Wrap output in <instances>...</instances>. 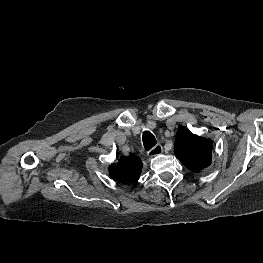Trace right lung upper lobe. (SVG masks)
I'll return each instance as SVG.
<instances>
[{
    "mask_svg": "<svg viewBox=\"0 0 263 263\" xmlns=\"http://www.w3.org/2000/svg\"><path fill=\"white\" fill-rule=\"evenodd\" d=\"M109 175L117 183L129 184L139 179L142 162L136 155L122 156L108 168Z\"/></svg>",
    "mask_w": 263,
    "mask_h": 263,
    "instance_id": "1",
    "label": "right lung upper lobe"
}]
</instances>
